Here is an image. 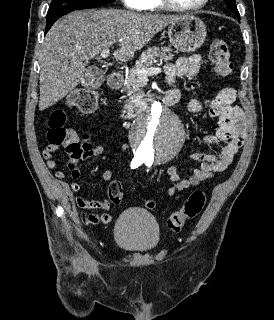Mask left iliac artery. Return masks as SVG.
<instances>
[{
  "instance_id": "obj_1",
  "label": "left iliac artery",
  "mask_w": 274,
  "mask_h": 320,
  "mask_svg": "<svg viewBox=\"0 0 274 320\" xmlns=\"http://www.w3.org/2000/svg\"><path fill=\"white\" fill-rule=\"evenodd\" d=\"M145 162H146V165L148 166V167H150L151 166V161L149 162V161H147V160H145Z\"/></svg>"
}]
</instances>
